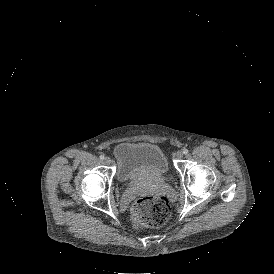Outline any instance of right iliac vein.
Segmentation results:
<instances>
[{"instance_id": "right-iliac-vein-1", "label": "right iliac vein", "mask_w": 274, "mask_h": 274, "mask_svg": "<svg viewBox=\"0 0 274 274\" xmlns=\"http://www.w3.org/2000/svg\"><path fill=\"white\" fill-rule=\"evenodd\" d=\"M105 163L106 164H110L111 163V159L109 157L105 158Z\"/></svg>"}]
</instances>
